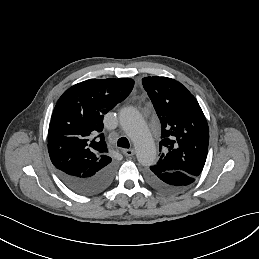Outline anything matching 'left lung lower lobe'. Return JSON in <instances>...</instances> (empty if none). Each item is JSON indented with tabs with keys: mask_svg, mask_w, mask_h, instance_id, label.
Masks as SVG:
<instances>
[{
	"mask_svg": "<svg viewBox=\"0 0 259 259\" xmlns=\"http://www.w3.org/2000/svg\"><path fill=\"white\" fill-rule=\"evenodd\" d=\"M146 178L153 188L167 194H177L187 190L196 179L180 171L159 174L148 171Z\"/></svg>",
	"mask_w": 259,
	"mask_h": 259,
	"instance_id": "left-lung-lower-lobe-1",
	"label": "left lung lower lobe"
}]
</instances>
